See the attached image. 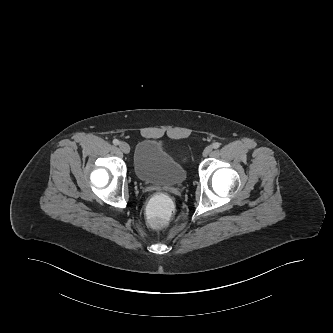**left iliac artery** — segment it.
<instances>
[{
  "label": "left iliac artery",
  "instance_id": "44dca946",
  "mask_svg": "<svg viewBox=\"0 0 333 333\" xmlns=\"http://www.w3.org/2000/svg\"><path fill=\"white\" fill-rule=\"evenodd\" d=\"M212 147H213L214 149H218V148L220 147V143L215 142V143L212 144Z\"/></svg>",
  "mask_w": 333,
  "mask_h": 333
}]
</instances>
